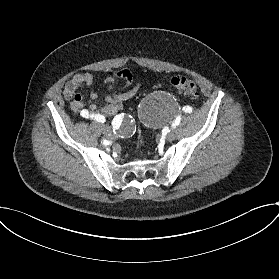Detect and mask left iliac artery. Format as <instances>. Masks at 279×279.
I'll list each match as a JSON object with an SVG mask.
<instances>
[{
	"label": "left iliac artery",
	"instance_id": "obj_1",
	"mask_svg": "<svg viewBox=\"0 0 279 279\" xmlns=\"http://www.w3.org/2000/svg\"><path fill=\"white\" fill-rule=\"evenodd\" d=\"M183 111L186 112V113H190L192 112V108L190 106H184L183 107ZM178 125V124H177ZM176 126V125H175Z\"/></svg>",
	"mask_w": 279,
	"mask_h": 279
}]
</instances>
